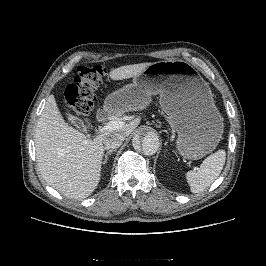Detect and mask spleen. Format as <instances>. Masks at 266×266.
Segmentation results:
<instances>
[{"label":"spleen","mask_w":266,"mask_h":266,"mask_svg":"<svg viewBox=\"0 0 266 266\" xmlns=\"http://www.w3.org/2000/svg\"><path fill=\"white\" fill-rule=\"evenodd\" d=\"M226 152L218 150L208 156L197 171L186 173V179L192 193H200L207 189L220 175L225 164Z\"/></svg>","instance_id":"spleen-1"}]
</instances>
